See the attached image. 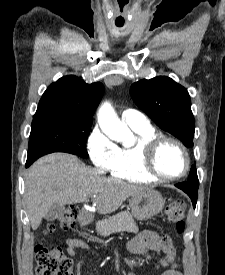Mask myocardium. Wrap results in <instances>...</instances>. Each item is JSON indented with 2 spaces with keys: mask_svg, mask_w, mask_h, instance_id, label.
I'll return each mask as SVG.
<instances>
[{
  "mask_svg": "<svg viewBox=\"0 0 225 275\" xmlns=\"http://www.w3.org/2000/svg\"><path fill=\"white\" fill-rule=\"evenodd\" d=\"M165 143L175 144L182 152L184 157L183 170L177 175H163L156 166V156L159 149ZM141 166L143 170L155 180L172 181L184 177L190 168V156L186 146L178 139L166 135H157L142 142L140 146Z\"/></svg>",
  "mask_w": 225,
  "mask_h": 275,
  "instance_id": "1",
  "label": "myocardium"
}]
</instances>
